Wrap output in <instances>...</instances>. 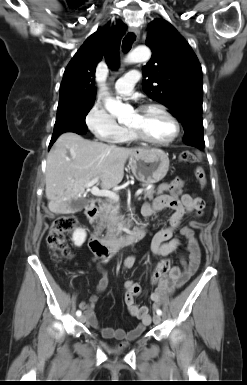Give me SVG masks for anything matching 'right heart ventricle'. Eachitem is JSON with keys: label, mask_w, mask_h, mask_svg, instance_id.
<instances>
[{"label": "right heart ventricle", "mask_w": 247, "mask_h": 385, "mask_svg": "<svg viewBox=\"0 0 247 385\" xmlns=\"http://www.w3.org/2000/svg\"><path fill=\"white\" fill-rule=\"evenodd\" d=\"M135 138L133 137V135L131 134V132L127 129H125L122 137H121V142H129V141H133Z\"/></svg>", "instance_id": "1"}]
</instances>
